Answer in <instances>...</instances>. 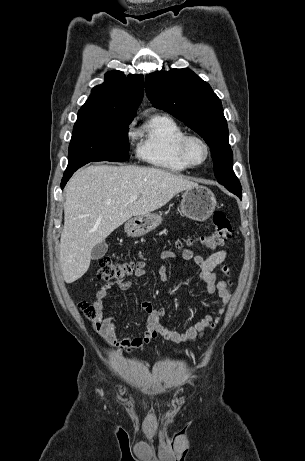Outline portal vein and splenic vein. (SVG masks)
<instances>
[{"label":"portal vein and splenic vein","instance_id":"obj_1","mask_svg":"<svg viewBox=\"0 0 305 461\" xmlns=\"http://www.w3.org/2000/svg\"><path fill=\"white\" fill-rule=\"evenodd\" d=\"M137 199H138V196H137V195H132V196L130 197V201H131V202H133V201H135V200H137Z\"/></svg>","mask_w":305,"mask_h":461}]
</instances>
